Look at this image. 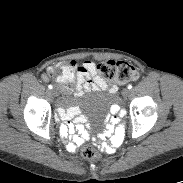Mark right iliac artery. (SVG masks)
Returning <instances> with one entry per match:
<instances>
[{"label":"right iliac artery","instance_id":"right-iliac-artery-1","mask_svg":"<svg viewBox=\"0 0 183 183\" xmlns=\"http://www.w3.org/2000/svg\"><path fill=\"white\" fill-rule=\"evenodd\" d=\"M48 88H49V89H52V88H53V86H52V85H49V86H48Z\"/></svg>","mask_w":183,"mask_h":183}]
</instances>
